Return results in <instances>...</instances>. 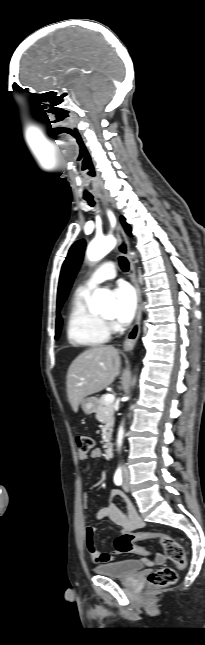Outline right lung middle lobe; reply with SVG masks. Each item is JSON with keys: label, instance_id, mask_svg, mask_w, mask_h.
I'll return each mask as SVG.
<instances>
[{"label": "right lung middle lobe", "instance_id": "1", "mask_svg": "<svg viewBox=\"0 0 205 645\" xmlns=\"http://www.w3.org/2000/svg\"><path fill=\"white\" fill-rule=\"evenodd\" d=\"M61 323H62L61 318L57 319V321H56V335H55L56 339L59 337V334H60Z\"/></svg>", "mask_w": 205, "mask_h": 645}]
</instances>
